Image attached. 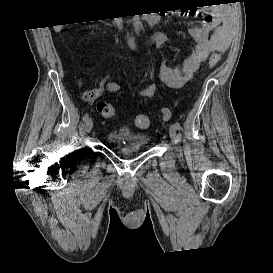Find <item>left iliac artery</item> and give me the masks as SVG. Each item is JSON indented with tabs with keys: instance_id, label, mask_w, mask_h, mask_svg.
I'll use <instances>...</instances> for the list:
<instances>
[{
	"instance_id": "left-iliac-artery-1",
	"label": "left iliac artery",
	"mask_w": 273,
	"mask_h": 273,
	"mask_svg": "<svg viewBox=\"0 0 273 273\" xmlns=\"http://www.w3.org/2000/svg\"><path fill=\"white\" fill-rule=\"evenodd\" d=\"M175 127L177 130H180V124L178 122L175 123Z\"/></svg>"
}]
</instances>
